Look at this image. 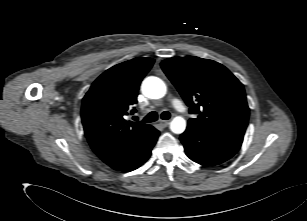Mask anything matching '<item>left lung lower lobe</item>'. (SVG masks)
Segmentation results:
<instances>
[{"mask_svg": "<svg viewBox=\"0 0 307 221\" xmlns=\"http://www.w3.org/2000/svg\"><path fill=\"white\" fill-rule=\"evenodd\" d=\"M180 140L191 160L212 166L230 159L241 147L243 137L188 125Z\"/></svg>", "mask_w": 307, "mask_h": 221, "instance_id": "1", "label": "left lung lower lobe"}]
</instances>
